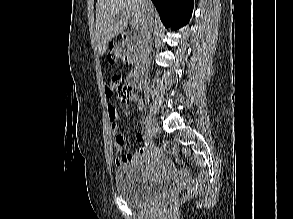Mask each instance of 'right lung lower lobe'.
<instances>
[{
	"instance_id": "98d812e1",
	"label": "right lung lower lobe",
	"mask_w": 293,
	"mask_h": 219,
	"mask_svg": "<svg viewBox=\"0 0 293 219\" xmlns=\"http://www.w3.org/2000/svg\"><path fill=\"white\" fill-rule=\"evenodd\" d=\"M152 2L167 28L184 26L191 17L193 0H152Z\"/></svg>"
}]
</instances>
